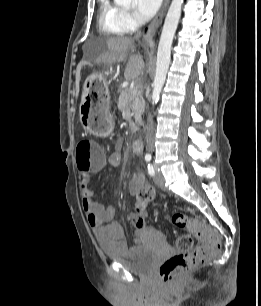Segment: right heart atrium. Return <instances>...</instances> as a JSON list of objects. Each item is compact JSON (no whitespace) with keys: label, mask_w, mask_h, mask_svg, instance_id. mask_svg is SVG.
<instances>
[{"label":"right heart atrium","mask_w":261,"mask_h":306,"mask_svg":"<svg viewBox=\"0 0 261 306\" xmlns=\"http://www.w3.org/2000/svg\"><path fill=\"white\" fill-rule=\"evenodd\" d=\"M122 21L125 25V27L128 29V30H132L136 27L137 25V20L136 18L134 17V15L128 11V10H123L122 11Z\"/></svg>","instance_id":"1"}]
</instances>
